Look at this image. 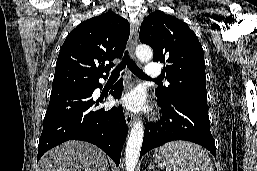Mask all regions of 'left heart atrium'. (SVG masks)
I'll use <instances>...</instances> for the list:
<instances>
[{
  "mask_svg": "<svg viewBox=\"0 0 257 171\" xmlns=\"http://www.w3.org/2000/svg\"><path fill=\"white\" fill-rule=\"evenodd\" d=\"M121 103L131 111L142 110L145 107L144 94L140 89H134L123 96Z\"/></svg>",
  "mask_w": 257,
  "mask_h": 171,
  "instance_id": "39dd6f15",
  "label": "left heart atrium"
}]
</instances>
